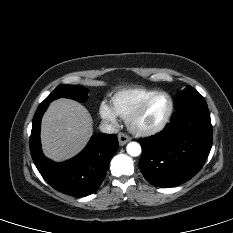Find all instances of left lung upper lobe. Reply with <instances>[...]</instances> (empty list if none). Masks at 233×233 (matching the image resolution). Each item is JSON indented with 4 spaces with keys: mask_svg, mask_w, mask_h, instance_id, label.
I'll list each match as a JSON object with an SVG mask.
<instances>
[{
    "mask_svg": "<svg viewBox=\"0 0 233 233\" xmlns=\"http://www.w3.org/2000/svg\"><path fill=\"white\" fill-rule=\"evenodd\" d=\"M193 104H206L203 96L190 86L177 94L175 99L176 111Z\"/></svg>",
    "mask_w": 233,
    "mask_h": 233,
    "instance_id": "1",
    "label": "left lung upper lobe"
}]
</instances>
